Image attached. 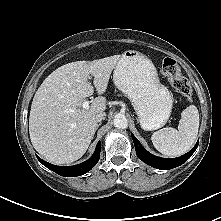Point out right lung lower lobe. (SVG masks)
I'll return each instance as SVG.
<instances>
[{
	"label": "right lung lower lobe",
	"instance_id": "right-lung-lower-lobe-1",
	"mask_svg": "<svg viewBox=\"0 0 221 221\" xmlns=\"http://www.w3.org/2000/svg\"><path fill=\"white\" fill-rule=\"evenodd\" d=\"M100 148H101L100 143L98 142L93 156L87 161L81 164L75 165V166H56V165L50 164L42 160L38 156L37 158L39 162L42 163L45 167H47L48 169L54 171L55 173L61 176L75 177V176H80V175L87 173L97 164L100 158Z\"/></svg>",
	"mask_w": 221,
	"mask_h": 221
}]
</instances>
